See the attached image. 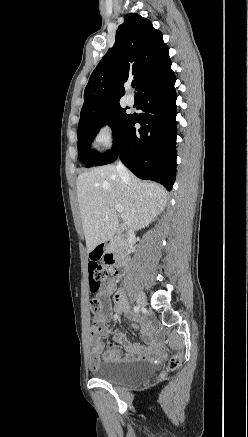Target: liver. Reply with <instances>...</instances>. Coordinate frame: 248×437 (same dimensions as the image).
Segmentation results:
<instances>
[{
	"label": "liver",
	"instance_id": "obj_1",
	"mask_svg": "<svg viewBox=\"0 0 248 437\" xmlns=\"http://www.w3.org/2000/svg\"><path fill=\"white\" fill-rule=\"evenodd\" d=\"M77 196L87 251L111 239L119 226L115 205L123 207L129 229L147 227L164 210L167 192L129 173L122 178L114 165L94 168L77 178Z\"/></svg>",
	"mask_w": 248,
	"mask_h": 437
}]
</instances>
